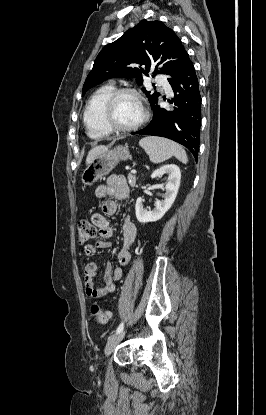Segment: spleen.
<instances>
[{
  "instance_id": "obj_1",
  "label": "spleen",
  "mask_w": 266,
  "mask_h": 415,
  "mask_svg": "<svg viewBox=\"0 0 266 415\" xmlns=\"http://www.w3.org/2000/svg\"><path fill=\"white\" fill-rule=\"evenodd\" d=\"M139 145L149 155L153 163H162L172 156L186 164L188 162L185 150L177 143L161 137H145L139 141Z\"/></svg>"
}]
</instances>
